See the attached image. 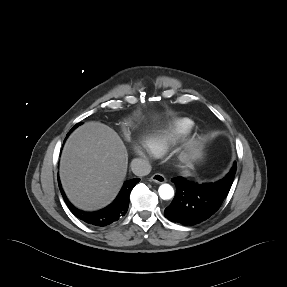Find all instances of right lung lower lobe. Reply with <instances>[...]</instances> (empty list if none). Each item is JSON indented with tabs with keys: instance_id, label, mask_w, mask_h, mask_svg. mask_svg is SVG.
I'll use <instances>...</instances> for the list:
<instances>
[{
	"instance_id": "1",
	"label": "right lung lower lobe",
	"mask_w": 287,
	"mask_h": 287,
	"mask_svg": "<svg viewBox=\"0 0 287 287\" xmlns=\"http://www.w3.org/2000/svg\"><path fill=\"white\" fill-rule=\"evenodd\" d=\"M70 132L67 134V136L70 134ZM139 181V178L126 181L116 199L109 206L95 212H85L74 207L65 196L59 179L58 184L66 205L78 219L89 225L103 227L119 220L126 214L129 206V196L131 190Z\"/></svg>"
}]
</instances>
